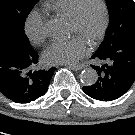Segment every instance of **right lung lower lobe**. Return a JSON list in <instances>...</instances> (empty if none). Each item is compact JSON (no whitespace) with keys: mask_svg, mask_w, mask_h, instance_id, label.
Here are the masks:
<instances>
[{"mask_svg":"<svg viewBox=\"0 0 135 135\" xmlns=\"http://www.w3.org/2000/svg\"><path fill=\"white\" fill-rule=\"evenodd\" d=\"M38 53L13 34L0 31V92L17 103H29L43 96L55 68L32 71Z\"/></svg>","mask_w":135,"mask_h":135,"instance_id":"obj_1","label":"right lung lower lobe"}]
</instances>
